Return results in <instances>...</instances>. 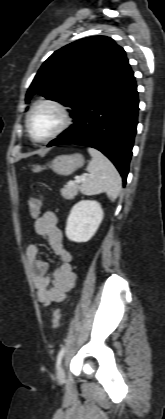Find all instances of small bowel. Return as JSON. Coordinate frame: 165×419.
<instances>
[{
  "label": "small bowel",
  "mask_w": 165,
  "mask_h": 419,
  "mask_svg": "<svg viewBox=\"0 0 165 419\" xmlns=\"http://www.w3.org/2000/svg\"><path fill=\"white\" fill-rule=\"evenodd\" d=\"M35 231L49 242L59 263L52 275H48V263L41 258L40 247L32 243L27 247L26 256L30 265L33 284L40 304L48 306L64 300L74 286L76 274L72 269V253L64 247L63 233L58 226L57 215L46 211L35 221Z\"/></svg>",
  "instance_id": "1"
}]
</instances>
